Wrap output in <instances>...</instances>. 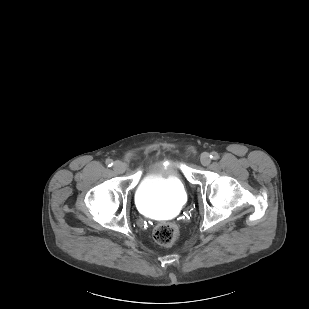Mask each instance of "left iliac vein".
Segmentation results:
<instances>
[{
    "label": "left iliac vein",
    "mask_w": 309,
    "mask_h": 309,
    "mask_svg": "<svg viewBox=\"0 0 309 309\" xmlns=\"http://www.w3.org/2000/svg\"><path fill=\"white\" fill-rule=\"evenodd\" d=\"M200 161L203 166H208L211 162V158L208 153H203L200 157Z\"/></svg>",
    "instance_id": "obj_1"
}]
</instances>
